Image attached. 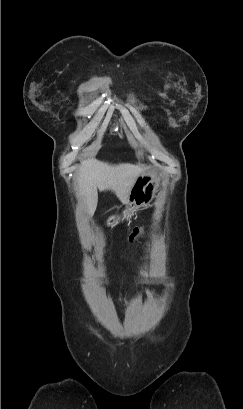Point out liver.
Listing matches in <instances>:
<instances>
[{
  "mask_svg": "<svg viewBox=\"0 0 243 409\" xmlns=\"http://www.w3.org/2000/svg\"><path fill=\"white\" fill-rule=\"evenodd\" d=\"M144 171L140 165L121 163L112 165L96 159H86L81 162L77 171L76 182L78 195L82 196L87 212L92 216L98 203V192L110 190L125 204L130 190L138 177Z\"/></svg>",
  "mask_w": 243,
  "mask_h": 409,
  "instance_id": "1",
  "label": "liver"
}]
</instances>
